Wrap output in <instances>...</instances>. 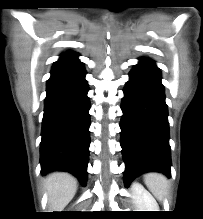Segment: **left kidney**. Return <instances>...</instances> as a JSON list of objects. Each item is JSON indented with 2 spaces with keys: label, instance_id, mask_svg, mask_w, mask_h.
<instances>
[{
  "label": "left kidney",
  "instance_id": "1",
  "mask_svg": "<svg viewBox=\"0 0 203 219\" xmlns=\"http://www.w3.org/2000/svg\"><path fill=\"white\" fill-rule=\"evenodd\" d=\"M131 189L138 211H158L157 202L141 184L134 182Z\"/></svg>",
  "mask_w": 203,
  "mask_h": 219
}]
</instances>
